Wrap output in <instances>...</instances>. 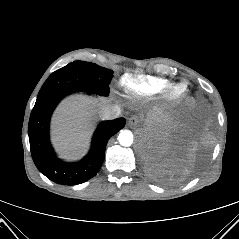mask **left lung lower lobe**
<instances>
[{"instance_id": "left-lung-lower-lobe-1", "label": "left lung lower lobe", "mask_w": 239, "mask_h": 239, "mask_svg": "<svg viewBox=\"0 0 239 239\" xmlns=\"http://www.w3.org/2000/svg\"><path fill=\"white\" fill-rule=\"evenodd\" d=\"M205 119L206 111L201 106H195L183 114L181 126L175 132L159 130L143 139L140 151L150 177L161 182H175L195 168L197 155L194 150H190L189 157L180 158L177 162L172 156L188 149L187 146L182 147L186 145L183 139L196 136Z\"/></svg>"}]
</instances>
